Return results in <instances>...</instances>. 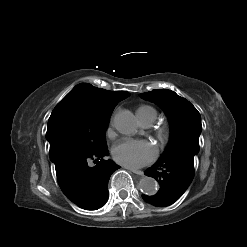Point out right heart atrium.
I'll return each instance as SVG.
<instances>
[{"label":"right heart atrium","instance_id":"d8ad5b80","mask_svg":"<svg viewBox=\"0 0 247 247\" xmlns=\"http://www.w3.org/2000/svg\"><path fill=\"white\" fill-rule=\"evenodd\" d=\"M112 125H113V118H111V120H110V126H109V128L107 129V133L108 134H111V132H112Z\"/></svg>","mask_w":247,"mask_h":247}]
</instances>
